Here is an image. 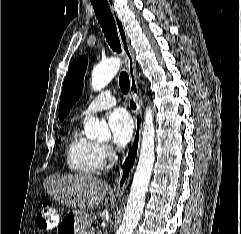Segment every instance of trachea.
Instances as JSON below:
<instances>
[{
    "mask_svg": "<svg viewBox=\"0 0 241 234\" xmlns=\"http://www.w3.org/2000/svg\"><path fill=\"white\" fill-rule=\"evenodd\" d=\"M96 18L102 28L106 41L113 51L120 53L121 44L116 24L107 0H91ZM119 86L124 94L129 91L130 81L128 74L123 71L119 77Z\"/></svg>",
    "mask_w": 241,
    "mask_h": 234,
    "instance_id": "1",
    "label": "trachea"
}]
</instances>
